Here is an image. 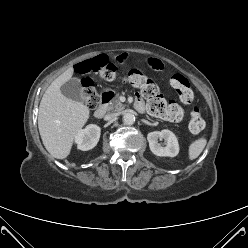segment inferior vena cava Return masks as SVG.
I'll return each instance as SVG.
<instances>
[{"mask_svg":"<svg viewBox=\"0 0 248 248\" xmlns=\"http://www.w3.org/2000/svg\"><path fill=\"white\" fill-rule=\"evenodd\" d=\"M118 116V114L116 113H110V114H106L104 117V120L109 121V120H113Z\"/></svg>","mask_w":248,"mask_h":248,"instance_id":"602c4592","label":"inferior vena cava"}]
</instances>
